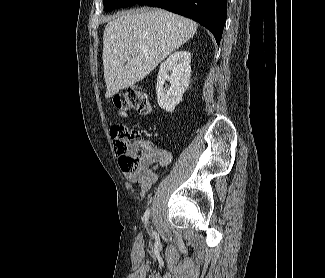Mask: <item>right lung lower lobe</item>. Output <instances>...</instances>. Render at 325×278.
<instances>
[{"label":"right lung lower lobe","instance_id":"right-lung-lower-lobe-1","mask_svg":"<svg viewBox=\"0 0 325 278\" xmlns=\"http://www.w3.org/2000/svg\"><path fill=\"white\" fill-rule=\"evenodd\" d=\"M140 5L164 8L206 27L220 44L226 22L227 0H138Z\"/></svg>","mask_w":325,"mask_h":278}]
</instances>
